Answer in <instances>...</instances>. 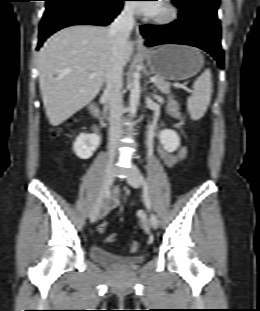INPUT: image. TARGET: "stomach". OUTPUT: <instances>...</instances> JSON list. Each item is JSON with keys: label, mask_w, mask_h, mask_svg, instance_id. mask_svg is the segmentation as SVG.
<instances>
[{"label": "stomach", "mask_w": 260, "mask_h": 311, "mask_svg": "<svg viewBox=\"0 0 260 311\" xmlns=\"http://www.w3.org/2000/svg\"><path fill=\"white\" fill-rule=\"evenodd\" d=\"M145 57L150 70L166 80L188 79L204 65L203 55L186 45H164L147 51Z\"/></svg>", "instance_id": "0dacf381"}]
</instances>
